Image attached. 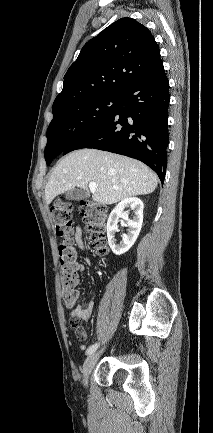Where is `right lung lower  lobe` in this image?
Returning <instances> with one entry per match:
<instances>
[{
  "instance_id": "1",
  "label": "right lung lower lobe",
  "mask_w": 213,
  "mask_h": 433,
  "mask_svg": "<svg viewBox=\"0 0 213 433\" xmlns=\"http://www.w3.org/2000/svg\"><path fill=\"white\" fill-rule=\"evenodd\" d=\"M169 81L160 58L130 86L116 110L100 126L62 154L95 148L136 158L151 167L163 183L167 166Z\"/></svg>"
}]
</instances>
